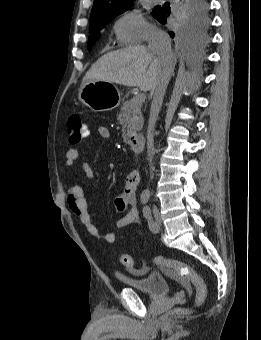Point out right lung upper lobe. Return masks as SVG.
Returning a JSON list of instances; mask_svg holds the SVG:
<instances>
[{"mask_svg": "<svg viewBox=\"0 0 261 340\" xmlns=\"http://www.w3.org/2000/svg\"><path fill=\"white\" fill-rule=\"evenodd\" d=\"M132 4L131 0H94L90 23L106 17L116 16Z\"/></svg>", "mask_w": 261, "mask_h": 340, "instance_id": "1", "label": "right lung upper lobe"}]
</instances>
